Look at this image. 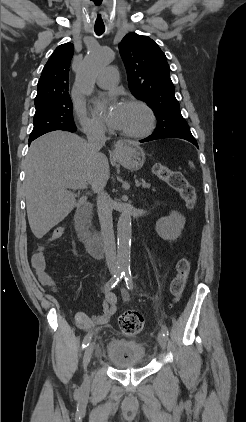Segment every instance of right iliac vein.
Returning <instances> with one entry per match:
<instances>
[{
	"label": "right iliac vein",
	"instance_id": "right-iliac-vein-1",
	"mask_svg": "<svg viewBox=\"0 0 246 422\" xmlns=\"http://www.w3.org/2000/svg\"><path fill=\"white\" fill-rule=\"evenodd\" d=\"M94 348H95V343L91 342V343H89V345L85 349L84 356H83V367H84L85 371H86L87 366H88V364L91 360V357L93 355ZM84 383H85L86 386L89 383V379H88L87 374H85Z\"/></svg>",
	"mask_w": 246,
	"mask_h": 422
}]
</instances>
